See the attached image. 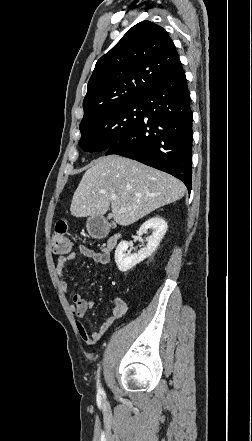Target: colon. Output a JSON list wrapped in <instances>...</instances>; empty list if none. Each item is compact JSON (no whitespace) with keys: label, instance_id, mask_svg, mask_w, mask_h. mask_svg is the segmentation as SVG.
<instances>
[{"label":"colon","instance_id":"obj_1","mask_svg":"<svg viewBox=\"0 0 252 441\" xmlns=\"http://www.w3.org/2000/svg\"><path fill=\"white\" fill-rule=\"evenodd\" d=\"M71 243L67 238V225L60 221L55 228L51 241V251L56 256H65L70 252Z\"/></svg>","mask_w":252,"mask_h":441}]
</instances>
